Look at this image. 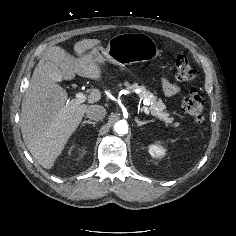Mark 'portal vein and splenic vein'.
<instances>
[{
    "label": "portal vein and splenic vein",
    "mask_w": 236,
    "mask_h": 236,
    "mask_svg": "<svg viewBox=\"0 0 236 236\" xmlns=\"http://www.w3.org/2000/svg\"><path fill=\"white\" fill-rule=\"evenodd\" d=\"M86 99H87V96H86V94H84V93H82V92H78L77 94H76V98L75 99H73V100H71L70 101V103H71V105H73V106H77V105H79V104H81V103H84L85 101H86ZM143 111H144V113L146 114V115H149V109L146 107V106H143Z\"/></svg>",
    "instance_id": "portal-vein-and-splenic-vein-1"
}]
</instances>
